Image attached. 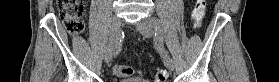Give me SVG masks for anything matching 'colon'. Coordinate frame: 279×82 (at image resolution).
I'll return each instance as SVG.
<instances>
[{"label": "colon", "instance_id": "obj_1", "mask_svg": "<svg viewBox=\"0 0 279 82\" xmlns=\"http://www.w3.org/2000/svg\"><path fill=\"white\" fill-rule=\"evenodd\" d=\"M206 0H197L195 7L191 12V18L194 24L199 25L203 20ZM59 15L63 20L65 27L71 34H79L84 29L83 17L85 13L84 1L82 0H57ZM113 72L117 77H130L136 73L135 69L128 65L115 64ZM167 71L159 69L155 73V82H166Z\"/></svg>", "mask_w": 279, "mask_h": 82}]
</instances>
